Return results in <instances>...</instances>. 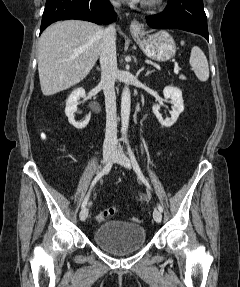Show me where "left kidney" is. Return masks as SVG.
<instances>
[{
  "label": "left kidney",
  "mask_w": 240,
  "mask_h": 287,
  "mask_svg": "<svg viewBox=\"0 0 240 287\" xmlns=\"http://www.w3.org/2000/svg\"><path fill=\"white\" fill-rule=\"evenodd\" d=\"M165 99H171L172 111L171 118H163L159 112V105L153 106V113L164 127H171L178 119L179 115L184 111V104L182 98V92L177 87L167 86L163 90Z\"/></svg>",
  "instance_id": "left-kidney-1"
}]
</instances>
